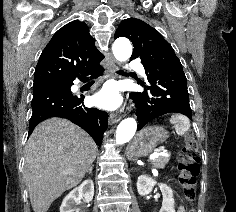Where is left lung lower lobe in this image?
I'll return each mask as SVG.
<instances>
[{"mask_svg": "<svg viewBox=\"0 0 236 212\" xmlns=\"http://www.w3.org/2000/svg\"><path fill=\"white\" fill-rule=\"evenodd\" d=\"M144 68L147 83H140L144 91L130 94L136 106L138 130L151 120L172 112L184 114L192 120L187 79L182 65Z\"/></svg>", "mask_w": 236, "mask_h": 212, "instance_id": "left-lung-lower-lobe-1", "label": "left lung lower lobe"}]
</instances>
